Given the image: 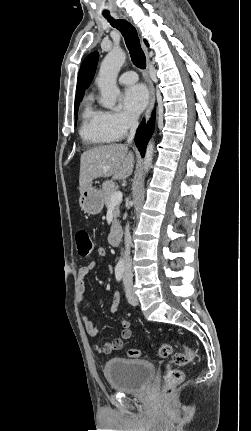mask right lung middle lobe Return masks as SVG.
Segmentation results:
<instances>
[{
  "label": "right lung middle lobe",
  "mask_w": 251,
  "mask_h": 431,
  "mask_svg": "<svg viewBox=\"0 0 251 431\" xmlns=\"http://www.w3.org/2000/svg\"><path fill=\"white\" fill-rule=\"evenodd\" d=\"M81 100H82V99L75 100V116H76V118H77V113H78V106H79V102H80Z\"/></svg>",
  "instance_id": "right-lung-middle-lobe-1"
}]
</instances>
